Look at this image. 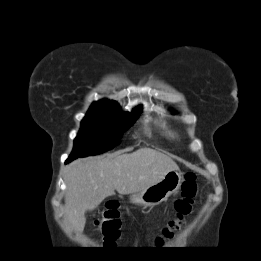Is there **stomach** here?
<instances>
[{
  "mask_svg": "<svg viewBox=\"0 0 261 261\" xmlns=\"http://www.w3.org/2000/svg\"><path fill=\"white\" fill-rule=\"evenodd\" d=\"M182 183V174L178 170L169 171L159 182L147 187L145 190L131 196L132 203L144 206H154L167 200L176 192Z\"/></svg>",
  "mask_w": 261,
  "mask_h": 261,
  "instance_id": "obj_1",
  "label": "stomach"
}]
</instances>
